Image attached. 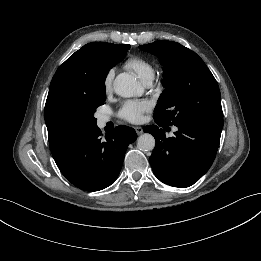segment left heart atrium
I'll list each match as a JSON object with an SVG mask.
<instances>
[{
    "mask_svg": "<svg viewBox=\"0 0 261 261\" xmlns=\"http://www.w3.org/2000/svg\"><path fill=\"white\" fill-rule=\"evenodd\" d=\"M151 108L152 104L148 100H128L119 109L118 116L127 122L139 123Z\"/></svg>",
    "mask_w": 261,
    "mask_h": 261,
    "instance_id": "left-heart-atrium-1",
    "label": "left heart atrium"
}]
</instances>
